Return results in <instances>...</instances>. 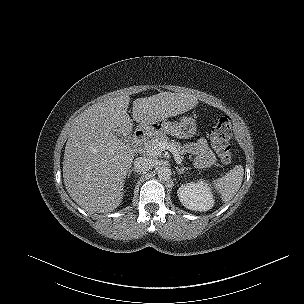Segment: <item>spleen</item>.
Segmentation results:
<instances>
[{
  "label": "spleen",
  "instance_id": "obj_1",
  "mask_svg": "<svg viewBox=\"0 0 304 304\" xmlns=\"http://www.w3.org/2000/svg\"><path fill=\"white\" fill-rule=\"evenodd\" d=\"M244 169L236 165L225 176L214 180L215 189L221 194L224 201H230L241 187Z\"/></svg>",
  "mask_w": 304,
  "mask_h": 304
}]
</instances>
